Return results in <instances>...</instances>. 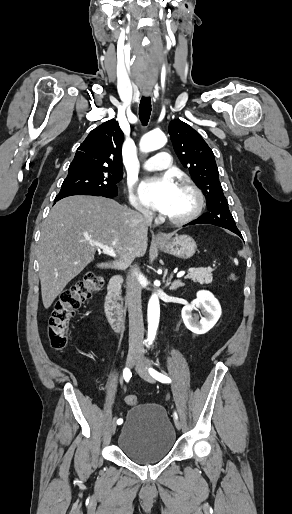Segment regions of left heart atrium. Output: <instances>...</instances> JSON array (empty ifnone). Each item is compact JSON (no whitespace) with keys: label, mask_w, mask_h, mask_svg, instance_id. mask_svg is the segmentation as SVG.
Listing matches in <instances>:
<instances>
[{"label":"left heart atrium","mask_w":292,"mask_h":514,"mask_svg":"<svg viewBox=\"0 0 292 514\" xmlns=\"http://www.w3.org/2000/svg\"><path fill=\"white\" fill-rule=\"evenodd\" d=\"M179 186L171 175L151 178L142 183L140 194L146 205L157 211L167 213L171 207Z\"/></svg>","instance_id":"left-heart-atrium-1"}]
</instances>
